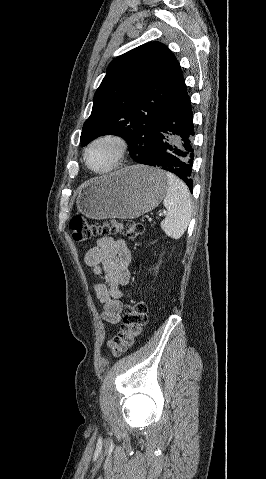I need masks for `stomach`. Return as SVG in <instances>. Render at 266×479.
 Returning a JSON list of instances; mask_svg holds the SVG:
<instances>
[{
	"label": "stomach",
	"instance_id": "obj_1",
	"mask_svg": "<svg viewBox=\"0 0 266 479\" xmlns=\"http://www.w3.org/2000/svg\"><path fill=\"white\" fill-rule=\"evenodd\" d=\"M167 188L163 170L134 165L82 185L77 207L92 219H134L156 208Z\"/></svg>",
	"mask_w": 266,
	"mask_h": 479
}]
</instances>
